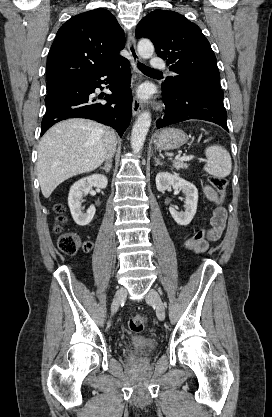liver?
I'll list each match as a JSON object with an SVG mask.
<instances>
[{"label": "liver", "mask_w": 272, "mask_h": 417, "mask_svg": "<svg viewBox=\"0 0 272 417\" xmlns=\"http://www.w3.org/2000/svg\"><path fill=\"white\" fill-rule=\"evenodd\" d=\"M112 132L87 119H68L49 129L38 146L37 176L43 196L49 198L65 180L98 168Z\"/></svg>", "instance_id": "liver-1"}]
</instances>
